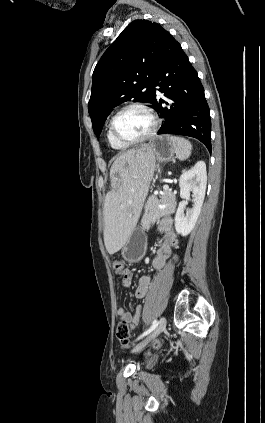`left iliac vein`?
<instances>
[{
  "label": "left iliac vein",
  "instance_id": "left-iliac-vein-1",
  "mask_svg": "<svg viewBox=\"0 0 265 423\" xmlns=\"http://www.w3.org/2000/svg\"><path fill=\"white\" fill-rule=\"evenodd\" d=\"M166 323H167L166 318L161 317L155 330L147 338H145L143 341L138 343L133 348L132 352H138L139 350L144 348L151 340L157 337L166 328Z\"/></svg>",
  "mask_w": 265,
  "mask_h": 423
}]
</instances>
